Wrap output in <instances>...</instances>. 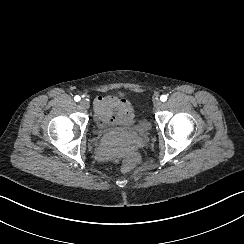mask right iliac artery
Masks as SVG:
<instances>
[{
    "label": "right iliac artery",
    "instance_id": "right-iliac-artery-1",
    "mask_svg": "<svg viewBox=\"0 0 244 244\" xmlns=\"http://www.w3.org/2000/svg\"><path fill=\"white\" fill-rule=\"evenodd\" d=\"M80 96H78V95H76L75 97H74V100L76 101V102H78V101H80Z\"/></svg>",
    "mask_w": 244,
    "mask_h": 244
}]
</instances>
